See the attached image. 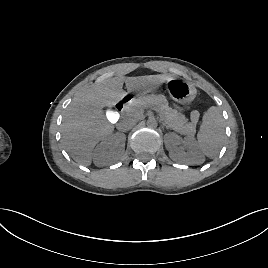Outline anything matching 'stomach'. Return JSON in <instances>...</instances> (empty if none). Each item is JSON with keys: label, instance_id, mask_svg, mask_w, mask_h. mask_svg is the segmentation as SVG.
Instances as JSON below:
<instances>
[{"label": "stomach", "instance_id": "0dacf381", "mask_svg": "<svg viewBox=\"0 0 268 268\" xmlns=\"http://www.w3.org/2000/svg\"><path fill=\"white\" fill-rule=\"evenodd\" d=\"M167 85L170 96L179 103L191 102L196 96V88L185 80L171 78Z\"/></svg>", "mask_w": 268, "mask_h": 268}]
</instances>
